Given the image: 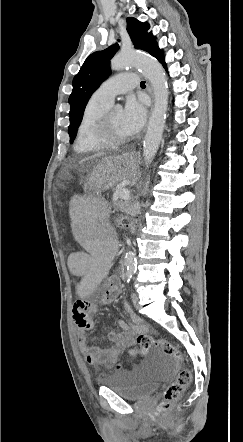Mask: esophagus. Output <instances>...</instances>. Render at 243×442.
I'll return each instance as SVG.
<instances>
[{"mask_svg": "<svg viewBox=\"0 0 243 442\" xmlns=\"http://www.w3.org/2000/svg\"><path fill=\"white\" fill-rule=\"evenodd\" d=\"M150 95H151V98H152V102H154V92H153L152 88H150Z\"/></svg>", "mask_w": 243, "mask_h": 442, "instance_id": "obj_1", "label": "esophagus"}]
</instances>
